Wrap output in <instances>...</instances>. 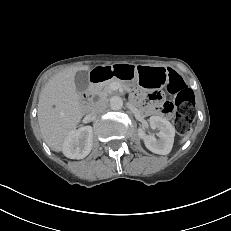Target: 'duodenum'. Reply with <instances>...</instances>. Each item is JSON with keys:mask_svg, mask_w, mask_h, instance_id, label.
<instances>
[{"mask_svg": "<svg viewBox=\"0 0 231 231\" xmlns=\"http://www.w3.org/2000/svg\"><path fill=\"white\" fill-rule=\"evenodd\" d=\"M94 73H98V72L96 71V72H94ZM91 81H92V84L95 85L96 80L93 78V73L91 74ZM82 97H83V100H84V101H88V100H90L91 97H92V92H91V91H86V92L83 94Z\"/></svg>", "mask_w": 231, "mask_h": 231, "instance_id": "410a0bca", "label": "duodenum"}]
</instances>
